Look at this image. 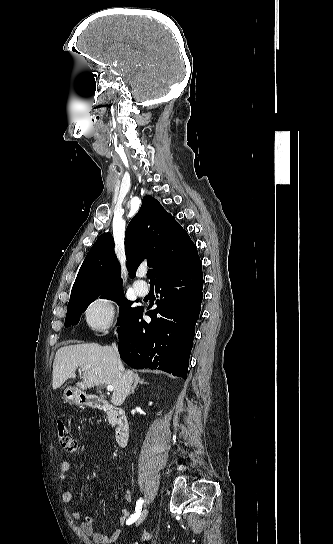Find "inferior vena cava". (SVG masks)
Wrapping results in <instances>:
<instances>
[{
  "mask_svg": "<svg viewBox=\"0 0 333 544\" xmlns=\"http://www.w3.org/2000/svg\"><path fill=\"white\" fill-rule=\"evenodd\" d=\"M112 348L115 350L117 356H118V350H117V346L115 343L112 344Z\"/></svg>",
  "mask_w": 333,
  "mask_h": 544,
  "instance_id": "1",
  "label": "inferior vena cava"
}]
</instances>
